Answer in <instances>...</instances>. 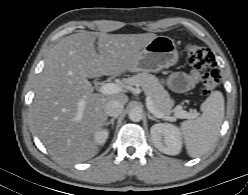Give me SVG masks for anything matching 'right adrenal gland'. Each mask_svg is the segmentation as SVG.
I'll use <instances>...</instances> for the list:
<instances>
[{
    "instance_id": "obj_1",
    "label": "right adrenal gland",
    "mask_w": 248,
    "mask_h": 195,
    "mask_svg": "<svg viewBox=\"0 0 248 195\" xmlns=\"http://www.w3.org/2000/svg\"><path fill=\"white\" fill-rule=\"evenodd\" d=\"M117 117H113L112 119H110L109 121L106 122L105 126L108 127L109 124L112 125V129L114 127V121Z\"/></svg>"
}]
</instances>
